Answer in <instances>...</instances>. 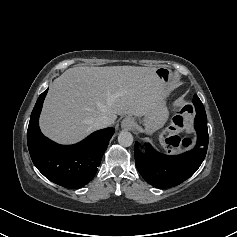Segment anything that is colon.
Listing matches in <instances>:
<instances>
[{
	"label": "colon",
	"instance_id": "obj_1",
	"mask_svg": "<svg viewBox=\"0 0 237 237\" xmlns=\"http://www.w3.org/2000/svg\"><path fill=\"white\" fill-rule=\"evenodd\" d=\"M193 108L190 105L184 106L173 117L164 139L168 143H177L182 146H187L188 139H181L177 133L188 130L192 125Z\"/></svg>",
	"mask_w": 237,
	"mask_h": 237
}]
</instances>
